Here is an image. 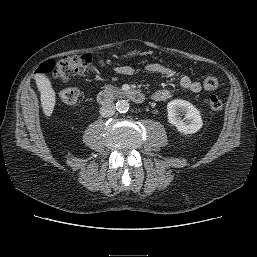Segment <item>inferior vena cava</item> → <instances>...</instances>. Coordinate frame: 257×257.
<instances>
[{"label":"inferior vena cava","mask_w":257,"mask_h":257,"mask_svg":"<svg viewBox=\"0 0 257 257\" xmlns=\"http://www.w3.org/2000/svg\"><path fill=\"white\" fill-rule=\"evenodd\" d=\"M116 108L114 103H107L100 108V114L102 117H110L115 114Z\"/></svg>","instance_id":"602c4592"}]
</instances>
